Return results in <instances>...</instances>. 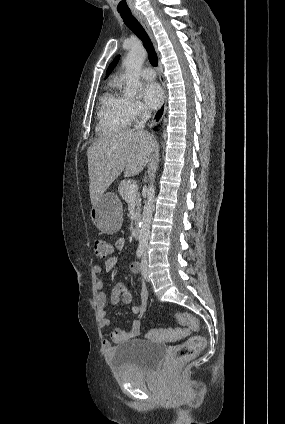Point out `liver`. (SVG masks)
<instances>
[{"label":"liver","mask_w":285,"mask_h":424,"mask_svg":"<svg viewBox=\"0 0 285 424\" xmlns=\"http://www.w3.org/2000/svg\"><path fill=\"white\" fill-rule=\"evenodd\" d=\"M156 146L153 135L132 129L107 133L87 150L89 192L94 205L124 171L125 177L139 174Z\"/></svg>","instance_id":"liver-1"}]
</instances>
